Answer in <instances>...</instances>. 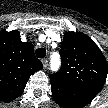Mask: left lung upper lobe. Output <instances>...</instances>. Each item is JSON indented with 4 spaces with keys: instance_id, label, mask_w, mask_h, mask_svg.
<instances>
[{
    "instance_id": "left-lung-upper-lobe-1",
    "label": "left lung upper lobe",
    "mask_w": 108,
    "mask_h": 108,
    "mask_svg": "<svg viewBox=\"0 0 108 108\" xmlns=\"http://www.w3.org/2000/svg\"><path fill=\"white\" fill-rule=\"evenodd\" d=\"M62 67L51 80L102 89L108 76V62L90 37L66 32L60 50Z\"/></svg>"
}]
</instances>
